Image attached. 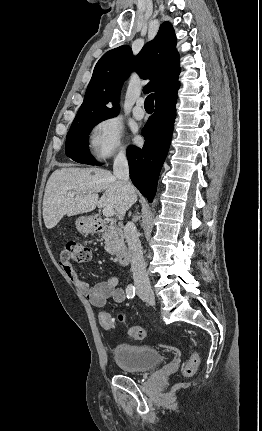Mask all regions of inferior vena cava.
Segmentation results:
<instances>
[{
    "label": "inferior vena cava",
    "mask_w": 262,
    "mask_h": 431,
    "mask_svg": "<svg viewBox=\"0 0 262 431\" xmlns=\"http://www.w3.org/2000/svg\"><path fill=\"white\" fill-rule=\"evenodd\" d=\"M113 174L119 179L127 192L133 191V186L129 181V166L124 150H121L114 159ZM124 236L131 253V269L133 280L137 290L151 291L150 281L146 272L143 252L140 240L137 236L136 226L128 222L124 228Z\"/></svg>",
    "instance_id": "inferior-vena-cava-1"
}]
</instances>
